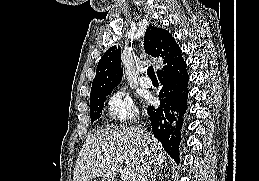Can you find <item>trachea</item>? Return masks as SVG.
<instances>
[{"label":"trachea","mask_w":259,"mask_h":181,"mask_svg":"<svg viewBox=\"0 0 259 181\" xmlns=\"http://www.w3.org/2000/svg\"><path fill=\"white\" fill-rule=\"evenodd\" d=\"M147 75H148L150 78H156V74H155V71H154L153 66H149V67H148V69H147Z\"/></svg>","instance_id":"1"}]
</instances>
